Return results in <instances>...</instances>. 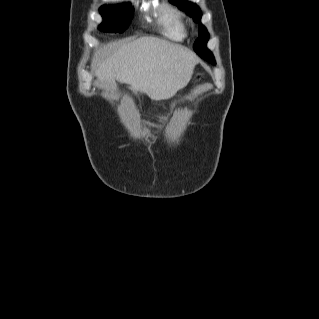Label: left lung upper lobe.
Segmentation results:
<instances>
[{
    "label": "left lung upper lobe",
    "mask_w": 319,
    "mask_h": 319,
    "mask_svg": "<svg viewBox=\"0 0 319 319\" xmlns=\"http://www.w3.org/2000/svg\"><path fill=\"white\" fill-rule=\"evenodd\" d=\"M172 4L177 5L181 10L186 11L190 17H193L195 22L199 24V37L194 43V50L198 54L199 51L203 52L207 57L208 61L212 63L213 55L206 48V43L209 39V33L207 29L201 24V11L200 8L192 2H187L184 0H169Z\"/></svg>",
    "instance_id": "left-lung-upper-lobe-1"
}]
</instances>
